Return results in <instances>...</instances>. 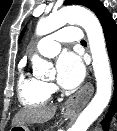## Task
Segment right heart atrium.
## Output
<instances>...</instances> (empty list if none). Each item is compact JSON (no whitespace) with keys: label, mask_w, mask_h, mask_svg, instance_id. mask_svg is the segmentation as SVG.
Wrapping results in <instances>:
<instances>
[{"label":"right heart atrium","mask_w":117,"mask_h":131,"mask_svg":"<svg viewBox=\"0 0 117 131\" xmlns=\"http://www.w3.org/2000/svg\"><path fill=\"white\" fill-rule=\"evenodd\" d=\"M49 86V89L52 90L53 89V85H48Z\"/></svg>","instance_id":"1"}]
</instances>
